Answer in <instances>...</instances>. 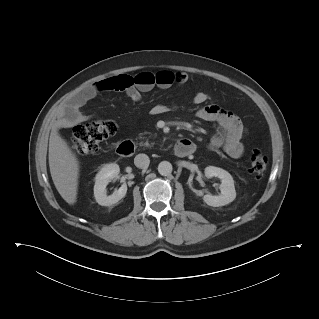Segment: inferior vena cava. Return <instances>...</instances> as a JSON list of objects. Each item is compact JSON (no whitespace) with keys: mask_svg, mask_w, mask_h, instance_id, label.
<instances>
[{"mask_svg":"<svg viewBox=\"0 0 319 319\" xmlns=\"http://www.w3.org/2000/svg\"><path fill=\"white\" fill-rule=\"evenodd\" d=\"M149 163H150V159L146 154H138V155H136V157L134 159V164L138 168L146 169V168H148Z\"/></svg>","mask_w":319,"mask_h":319,"instance_id":"602c4592","label":"inferior vena cava"}]
</instances>
